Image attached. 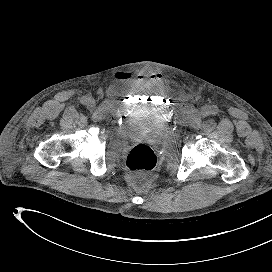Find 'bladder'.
I'll return each mask as SVG.
<instances>
[{
  "label": "bladder",
  "mask_w": 272,
  "mask_h": 272,
  "mask_svg": "<svg viewBox=\"0 0 272 272\" xmlns=\"http://www.w3.org/2000/svg\"><path fill=\"white\" fill-rule=\"evenodd\" d=\"M133 134L160 140L166 132V123L150 106H143L130 124Z\"/></svg>",
  "instance_id": "obj_1"
}]
</instances>
